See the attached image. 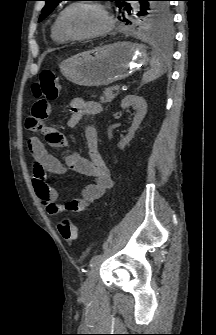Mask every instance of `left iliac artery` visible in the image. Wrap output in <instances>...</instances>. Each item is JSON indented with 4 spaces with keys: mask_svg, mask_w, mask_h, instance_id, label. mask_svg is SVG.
Masks as SVG:
<instances>
[{
    "mask_svg": "<svg viewBox=\"0 0 216 335\" xmlns=\"http://www.w3.org/2000/svg\"><path fill=\"white\" fill-rule=\"evenodd\" d=\"M102 256H103L102 254H98V255H95L94 257H92V259L90 260V266L92 267L95 263L100 261Z\"/></svg>",
    "mask_w": 216,
    "mask_h": 335,
    "instance_id": "44dca946",
    "label": "left iliac artery"
}]
</instances>
